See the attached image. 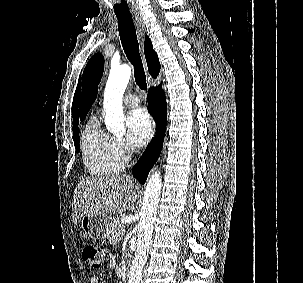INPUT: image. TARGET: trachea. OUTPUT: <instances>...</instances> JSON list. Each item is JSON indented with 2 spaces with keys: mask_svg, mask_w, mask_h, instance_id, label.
I'll list each match as a JSON object with an SVG mask.
<instances>
[{
  "mask_svg": "<svg viewBox=\"0 0 303 283\" xmlns=\"http://www.w3.org/2000/svg\"><path fill=\"white\" fill-rule=\"evenodd\" d=\"M118 31L124 52L133 65L136 84L142 90L147 89L146 75L144 72L137 40L136 29L131 16H118Z\"/></svg>",
  "mask_w": 303,
  "mask_h": 283,
  "instance_id": "obj_1",
  "label": "trachea"
}]
</instances>
